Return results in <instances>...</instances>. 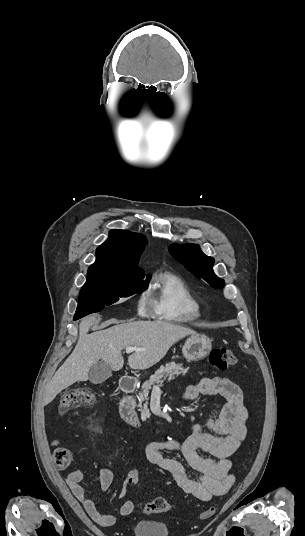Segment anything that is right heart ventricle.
<instances>
[{
  "instance_id": "1",
  "label": "right heart ventricle",
  "mask_w": 305,
  "mask_h": 536,
  "mask_svg": "<svg viewBox=\"0 0 305 536\" xmlns=\"http://www.w3.org/2000/svg\"><path fill=\"white\" fill-rule=\"evenodd\" d=\"M150 303L164 320L192 322L201 317V306L187 285L176 275L161 272L149 288Z\"/></svg>"
}]
</instances>
